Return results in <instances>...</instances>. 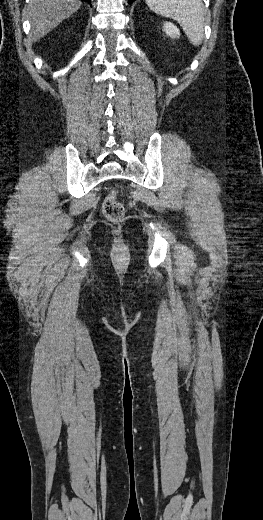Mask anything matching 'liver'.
Listing matches in <instances>:
<instances>
[{
	"label": "liver",
	"instance_id": "liver-1",
	"mask_svg": "<svg viewBox=\"0 0 263 520\" xmlns=\"http://www.w3.org/2000/svg\"><path fill=\"white\" fill-rule=\"evenodd\" d=\"M81 0H30L27 10L31 41L47 35L81 7Z\"/></svg>",
	"mask_w": 263,
	"mask_h": 520
}]
</instances>
